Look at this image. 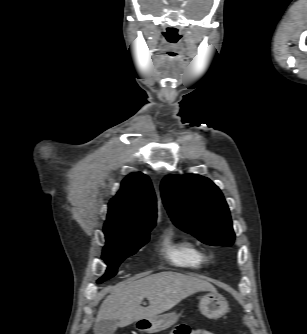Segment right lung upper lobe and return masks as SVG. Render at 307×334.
Listing matches in <instances>:
<instances>
[{"instance_id": "1", "label": "right lung upper lobe", "mask_w": 307, "mask_h": 334, "mask_svg": "<svg viewBox=\"0 0 307 334\" xmlns=\"http://www.w3.org/2000/svg\"><path fill=\"white\" fill-rule=\"evenodd\" d=\"M156 221V198L148 176L128 175L117 195L109 202L104 233L114 235L153 228Z\"/></svg>"}]
</instances>
